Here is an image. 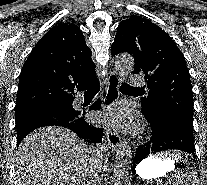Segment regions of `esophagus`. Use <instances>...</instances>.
<instances>
[{"label": "esophagus", "instance_id": "esophagus-1", "mask_svg": "<svg viewBox=\"0 0 207 185\" xmlns=\"http://www.w3.org/2000/svg\"><path fill=\"white\" fill-rule=\"evenodd\" d=\"M120 75L116 71H111L106 82V93L104 96V108L106 110V117L110 118L112 115L111 108L119 98ZM107 140L112 150L117 151L121 144V138L118 131L110 128L107 132ZM127 166V165H123Z\"/></svg>", "mask_w": 207, "mask_h": 185}]
</instances>
